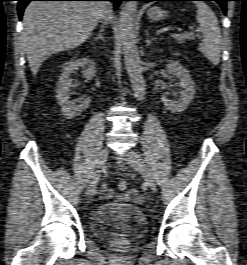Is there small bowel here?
<instances>
[{
    "label": "small bowel",
    "instance_id": "1",
    "mask_svg": "<svg viewBox=\"0 0 247 265\" xmlns=\"http://www.w3.org/2000/svg\"><path fill=\"white\" fill-rule=\"evenodd\" d=\"M100 196L102 199H111L113 197H118L119 199L126 202H142L143 198L140 195L138 189L130 188L124 193L117 194L113 190L103 188L101 190Z\"/></svg>",
    "mask_w": 247,
    "mask_h": 265
}]
</instances>
